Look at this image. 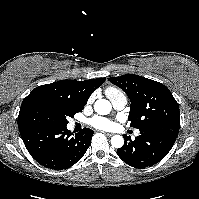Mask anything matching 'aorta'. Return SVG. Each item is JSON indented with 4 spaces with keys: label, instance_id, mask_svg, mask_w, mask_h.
I'll return each mask as SVG.
<instances>
[{
    "label": "aorta",
    "instance_id": "obj_1",
    "mask_svg": "<svg viewBox=\"0 0 199 199\" xmlns=\"http://www.w3.org/2000/svg\"><path fill=\"white\" fill-rule=\"evenodd\" d=\"M94 109L100 115H107L111 112L112 105L106 99H99L95 102ZM111 145L114 148H121L124 145V138L120 135H114L111 138Z\"/></svg>",
    "mask_w": 199,
    "mask_h": 199
}]
</instances>
